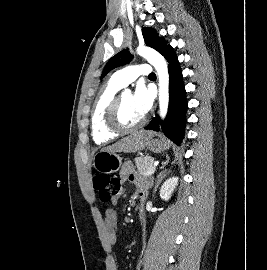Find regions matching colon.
<instances>
[{"label": "colon", "mask_w": 267, "mask_h": 270, "mask_svg": "<svg viewBox=\"0 0 267 270\" xmlns=\"http://www.w3.org/2000/svg\"><path fill=\"white\" fill-rule=\"evenodd\" d=\"M93 186L102 203H108L117 197L121 191L120 180L104 173H96L93 177Z\"/></svg>", "instance_id": "colon-1"}]
</instances>
